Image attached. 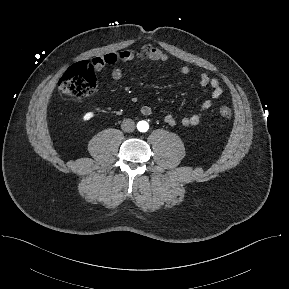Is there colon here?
Instances as JSON below:
<instances>
[{"mask_svg": "<svg viewBox=\"0 0 289 289\" xmlns=\"http://www.w3.org/2000/svg\"><path fill=\"white\" fill-rule=\"evenodd\" d=\"M96 86L97 79L93 64L83 61L71 66L64 73L59 81L58 89L65 95L84 98L93 94ZM219 113L225 119L232 117V109L226 105L219 108Z\"/></svg>", "mask_w": 289, "mask_h": 289, "instance_id": "colon-1", "label": "colon"}]
</instances>
